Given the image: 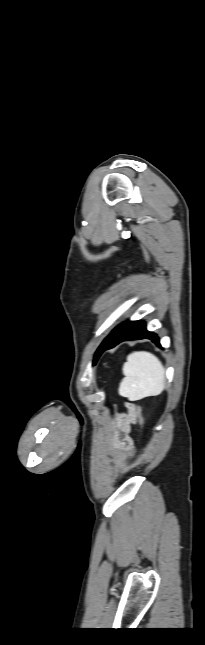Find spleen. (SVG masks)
<instances>
[{"label": "spleen", "instance_id": "obj_1", "mask_svg": "<svg viewBox=\"0 0 205 645\" xmlns=\"http://www.w3.org/2000/svg\"><path fill=\"white\" fill-rule=\"evenodd\" d=\"M122 371L125 377L120 383L119 393L131 401L157 396L165 388V369L160 360L150 352L129 354Z\"/></svg>", "mask_w": 205, "mask_h": 645}]
</instances>
